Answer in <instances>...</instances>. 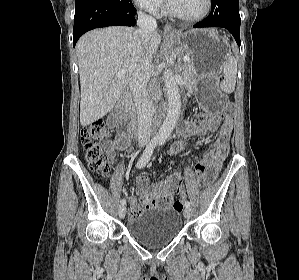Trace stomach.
<instances>
[{
	"label": "stomach",
	"mask_w": 299,
	"mask_h": 280,
	"mask_svg": "<svg viewBox=\"0 0 299 280\" xmlns=\"http://www.w3.org/2000/svg\"><path fill=\"white\" fill-rule=\"evenodd\" d=\"M171 39L191 54L196 72L195 93L202 108L210 113L219 111L224 96L218 88V75L231 56L230 44L214 29L178 31Z\"/></svg>",
	"instance_id": "stomach-1"
}]
</instances>
